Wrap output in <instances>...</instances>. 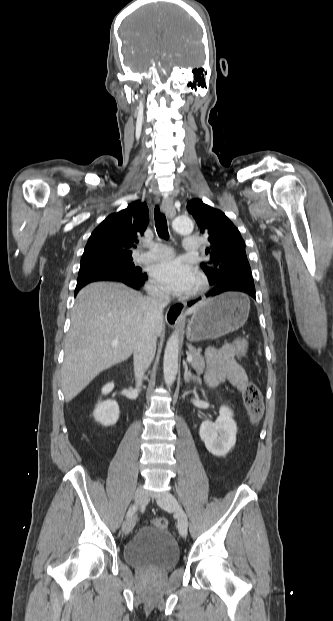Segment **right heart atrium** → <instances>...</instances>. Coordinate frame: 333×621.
Returning a JSON list of instances; mask_svg holds the SVG:
<instances>
[{
  "label": "right heart atrium",
  "mask_w": 333,
  "mask_h": 621,
  "mask_svg": "<svg viewBox=\"0 0 333 621\" xmlns=\"http://www.w3.org/2000/svg\"><path fill=\"white\" fill-rule=\"evenodd\" d=\"M148 290L155 297L163 298L165 296V291L153 282L148 284Z\"/></svg>",
  "instance_id": "d8ad5b80"
}]
</instances>
